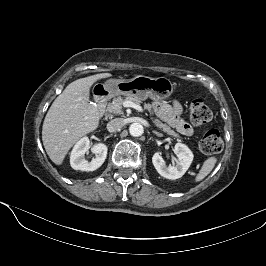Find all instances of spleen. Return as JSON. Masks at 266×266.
<instances>
[{
  "instance_id": "obj_1",
  "label": "spleen",
  "mask_w": 266,
  "mask_h": 266,
  "mask_svg": "<svg viewBox=\"0 0 266 266\" xmlns=\"http://www.w3.org/2000/svg\"><path fill=\"white\" fill-rule=\"evenodd\" d=\"M217 162V158L215 157H209L204 162L203 165L199 171V173L195 177V182H199L203 180L214 168L215 164Z\"/></svg>"
}]
</instances>
